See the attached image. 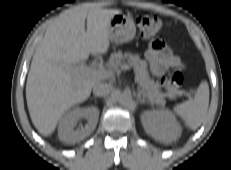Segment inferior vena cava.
I'll return each instance as SVG.
<instances>
[{"label": "inferior vena cava", "instance_id": "obj_1", "mask_svg": "<svg viewBox=\"0 0 231 170\" xmlns=\"http://www.w3.org/2000/svg\"><path fill=\"white\" fill-rule=\"evenodd\" d=\"M112 90V85L107 83L98 82L93 86V93L95 96H105Z\"/></svg>", "mask_w": 231, "mask_h": 170}]
</instances>
